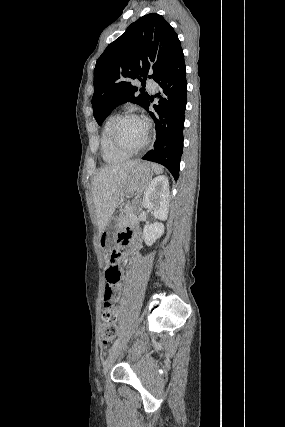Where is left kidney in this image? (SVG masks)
Segmentation results:
<instances>
[{
	"mask_svg": "<svg viewBox=\"0 0 285 427\" xmlns=\"http://www.w3.org/2000/svg\"><path fill=\"white\" fill-rule=\"evenodd\" d=\"M142 205L152 211L155 218L164 221L169 209V181L167 176H157L144 192ZM164 233L161 222L147 224L143 228V239L146 245L152 246Z\"/></svg>",
	"mask_w": 285,
	"mask_h": 427,
	"instance_id": "obj_1",
	"label": "left kidney"
}]
</instances>
